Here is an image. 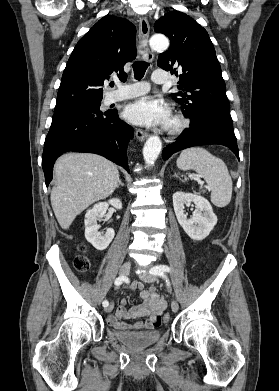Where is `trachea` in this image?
<instances>
[{"mask_svg":"<svg viewBox=\"0 0 279 391\" xmlns=\"http://www.w3.org/2000/svg\"><path fill=\"white\" fill-rule=\"evenodd\" d=\"M149 66V63L143 60H138L133 63V71H134V76L137 80L143 78L147 68ZM111 86L113 87L114 84L112 83Z\"/></svg>","mask_w":279,"mask_h":391,"instance_id":"3493384b","label":"trachea"}]
</instances>
